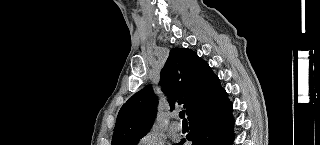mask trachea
Here are the masks:
<instances>
[{
    "label": "trachea",
    "instance_id": "trachea-1",
    "mask_svg": "<svg viewBox=\"0 0 320 145\" xmlns=\"http://www.w3.org/2000/svg\"><path fill=\"white\" fill-rule=\"evenodd\" d=\"M179 117H180V118H183V121H186V119H184V117H185V111H184V110H182V111L179 113Z\"/></svg>",
    "mask_w": 320,
    "mask_h": 145
}]
</instances>
